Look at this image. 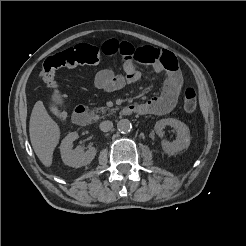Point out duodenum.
<instances>
[{
  "label": "duodenum",
  "mask_w": 246,
  "mask_h": 246,
  "mask_svg": "<svg viewBox=\"0 0 246 246\" xmlns=\"http://www.w3.org/2000/svg\"><path fill=\"white\" fill-rule=\"evenodd\" d=\"M139 111L140 106L138 104H130L123 108L122 113L124 115H130L133 113L139 114ZM72 120L78 126H86L92 120V113L88 107L80 105L75 109Z\"/></svg>",
  "instance_id": "410a0bca"
}]
</instances>
